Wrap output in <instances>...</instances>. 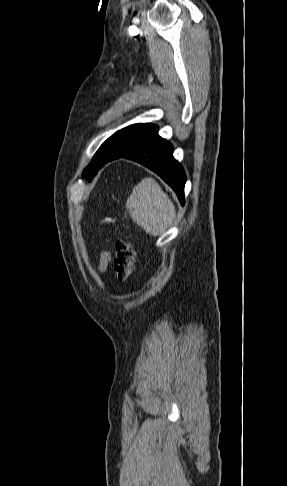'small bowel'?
<instances>
[{"label":"small bowel","instance_id":"small-bowel-1","mask_svg":"<svg viewBox=\"0 0 287 486\" xmlns=\"http://www.w3.org/2000/svg\"><path fill=\"white\" fill-rule=\"evenodd\" d=\"M110 259L111 256L109 252L104 251L101 253L99 264H98L99 271L104 272L106 270Z\"/></svg>","mask_w":287,"mask_h":486}]
</instances>
